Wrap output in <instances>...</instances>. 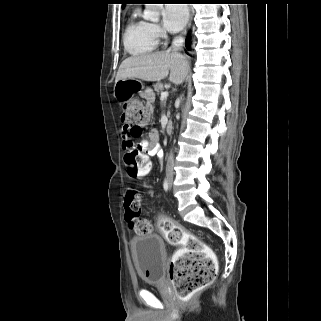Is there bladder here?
I'll use <instances>...</instances> for the list:
<instances>
[{
    "instance_id": "obj_1",
    "label": "bladder",
    "mask_w": 321,
    "mask_h": 321,
    "mask_svg": "<svg viewBox=\"0 0 321 321\" xmlns=\"http://www.w3.org/2000/svg\"><path fill=\"white\" fill-rule=\"evenodd\" d=\"M130 250L139 278L147 284H160L166 260L163 239L152 233L135 236L130 240Z\"/></svg>"
}]
</instances>
